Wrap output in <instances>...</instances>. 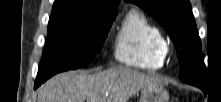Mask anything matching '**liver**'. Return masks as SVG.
<instances>
[{"mask_svg":"<svg viewBox=\"0 0 221 102\" xmlns=\"http://www.w3.org/2000/svg\"><path fill=\"white\" fill-rule=\"evenodd\" d=\"M162 80L128 67L88 74L70 71L49 79L38 93V102H127L133 94Z\"/></svg>","mask_w":221,"mask_h":102,"instance_id":"6515ba94","label":"liver"}]
</instances>
